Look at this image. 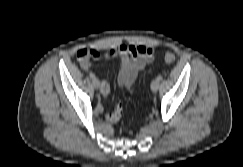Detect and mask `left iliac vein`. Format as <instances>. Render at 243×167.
<instances>
[{"instance_id": "obj_1", "label": "left iliac vein", "mask_w": 243, "mask_h": 167, "mask_svg": "<svg viewBox=\"0 0 243 167\" xmlns=\"http://www.w3.org/2000/svg\"><path fill=\"white\" fill-rule=\"evenodd\" d=\"M160 82L158 80H153L151 83V90L156 92L159 89Z\"/></svg>"}]
</instances>
